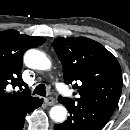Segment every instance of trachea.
Returning <instances> with one entry per match:
<instances>
[{"label":"trachea","mask_w":130,"mask_h":130,"mask_svg":"<svg viewBox=\"0 0 130 130\" xmlns=\"http://www.w3.org/2000/svg\"><path fill=\"white\" fill-rule=\"evenodd\" d=\"M33 94H37V95L45 97L46 96V86L44 84H39L33 91Z\"/></svg>","instance_id":"1"}]
</instances>
